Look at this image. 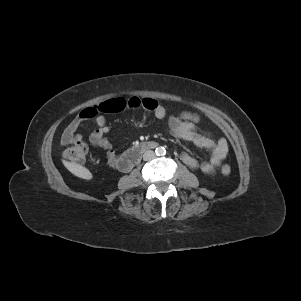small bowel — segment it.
<instances>
[{"label":"small bowel","instance_id":"1","mask_svg":"<svg viewBox=\"0 0 301 301\" xmlns=\"http://www.w3.org/2000/svg\"><path fill=\"white\" fill-rule=\"evenodd\" d=\"M155 116L158 119H165L167 113L164 107L156 111ZM87 119L88 118L80 113L63 131L61 143L67 145L81 141L83 133L79 132V129L84 125ZM167 120L169 131L174 137L190 141L198 147L211 151L209 160L198 161L188 153H182L181 160L190 168L199 169L204 173H213L227 155L228 145L226 140L224 138L213 139L208 135L199 133L197 131V125H194L190 121L181 120L175 117L174 114L169 115ZM93 125L94 129L89 134L90 143L104 150L107 162L110 166L122 170L121 160L123 154L115 152L108 139L111 127L102 116L96 117L93 120Z\"/></svg>","mask_w":301,"mask_h":301}]
</instances>
